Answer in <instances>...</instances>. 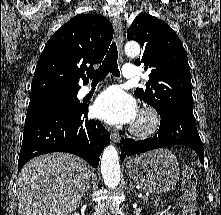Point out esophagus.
<instances>
[{"label": "esophagus", "mask_w": 221, "mask_h": 215, "mask_svg": "<svg viewBox=\"0 0 221 215\" xmlns=\"http://www.w3.org/2000/svg\"><path fill=\"white\" fill-rule=\"evenodd\" d=\"M113 26L116 34V42L120 53V59L123 56V30H122V22L121 18L116 16L113 19ZM111 139L114 143H120L121 136L118 132H111Z\"/></svg>", "instance_id": "esophagus-1"}]
</instances>
